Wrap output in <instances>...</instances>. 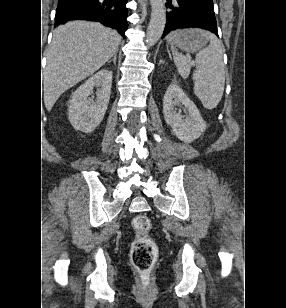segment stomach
I'll return each mask as SVG.
<instances>
[{
	"label": "stomach",
	"mask_w": 286,
	"mask_h": 308,
	"mask_svg": "<svg viewBox=\"0 0 286 308\" xmlns=\"http://www.w3.org/2000/svg\"><path fill=\"white\" fill-rule=\"evenodd\" d=\"M167 41L186 52H196L209 41L206 31L200 29H186L179 33H172Z\"/></svg>",
	"instance_id": "stomach-1"
}]
</instances>
